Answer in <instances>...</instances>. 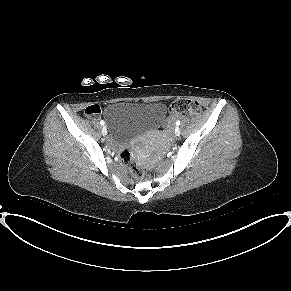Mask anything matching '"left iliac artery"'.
<instances>
[{"mask_svg": "<svg viewBox=\"0 0 291 291\" xmlns=\"http://www.w3.org/2000/svg\"><path fill=\"white\" fill-rule=\"evenodd\" d=\"M180 125V120H177L176 121V126H179Z\"/></svg>", "mask_w": 291, "mask_h": 291, "instance_id": "left-iliac-artery-1", "label": "left iliac artery"}]
</instances>
